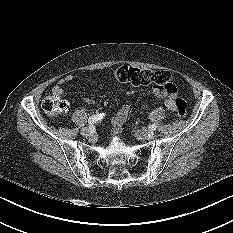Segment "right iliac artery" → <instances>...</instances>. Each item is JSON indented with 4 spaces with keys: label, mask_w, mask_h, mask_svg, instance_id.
<instances>
[{
    "label": "right iliac artery",
    "mask_w": 233,
    "mask_h": 233,
    "mask_svg": "<svg viewBox=\"0 0 233 233\" xmlns=\"http://www.w3.org/2000/svg\"><path fill=\"white\" fill-rule=\"evenodd\" d=\"M104 116H105L104 113H97L96 115L89 117L88 123L90 125H93L96 122H98L99 120L103 119Z\"/></svg>",
    "instance_id": "1"
}]
</instances>
